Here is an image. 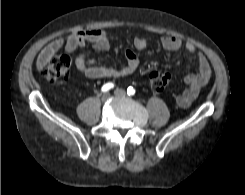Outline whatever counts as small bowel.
<instances>
[{
    "mask_svg": "<svg viewBox=\"0 0 245 195\" xmlns=\"http://www.w3.org/2000/svg\"><path fill=\"white\" fill-rule=\"evenodd\" d=\"M92 43L94 48L99 51H107L109 45V33L103 29H89L76 31L66 38L57 39L48 44L40 53L37 59V67L42 69L49 58L64 47L67 52H73L76 49L85 47ZM162 47L168 51L186 50L193 56L198 63V71L190 73L185 77L187 89L176 97L178 106L188 107L199 95L201 89L207 84L211 77V67L206 56L198 53L192 43H184L183 40L174 36H165L161 39ZM133 45L137 50H143L147 46V40L144 37H136ZM126 65L122 68H114L108 65H99L92 59H87L84 54H79L75 59L77 70L88 78H111L130 76L136 72L140 65L138 56L131 50L125 52Z\"/></svg>",
    "mask_w": 245,
    "mask_h": 195,
    "instance_id": "c3829d8e",
    "label": "small bowel"
}]
</instances>
